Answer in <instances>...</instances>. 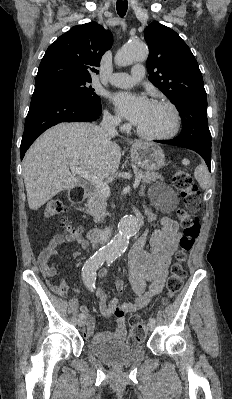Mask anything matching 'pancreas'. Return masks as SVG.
<instances>
[{
	"instance_id": "1",
	"label": "pancreas",
	"mask_w": 232,
	"mask_h": 399,
	"mask_svg": "<svg viewBox=\"0 0 232 399\" xmlns=\"http://www.w3.org/2000/svg\"><path fill=\"white\" fill-rule=\"evenodd\" d=\"M139 174H142V184H151V182H156V180H162L161 176H159L158 172H148V170H140ZM87 203H86V211L90 213V215H94V221L96 223H100L103 217L106 215V205L108 196L94 188L93 192L87 194Z\"/></svg>"
}]
</instances>
